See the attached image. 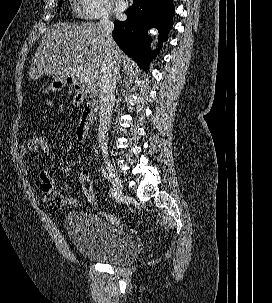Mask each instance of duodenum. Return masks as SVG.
<instances>
[{
	"label": "duodenum",
	"instance_id": "obj_1",
	"mask_svg": "<svg viewBox=\"0 0 272 303\" xmlns=\"http://www.w3.org/2000/svg\"><path fill=\"white\" fill-rule=\"evenodd\" d=\"M66 82L76 91L74 105L77 107L82 106L80 121L76 129V139L79 142H84L88 137L90 125L94 120L96 102L93 100L84 102L85 88L74 76L67 77Z\"/></svg>",
	"mask_w": 272,
	"mask_h": 303
}]
</instances>
